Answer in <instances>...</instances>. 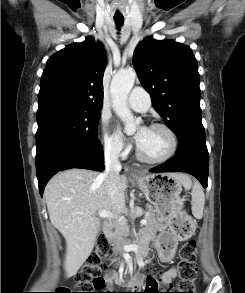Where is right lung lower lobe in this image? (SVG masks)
<instances>
[{"label":"right lung lower lobe","mask_w":245,"mask_h":293,"mask_svg":"<svg viewBox=\"0 0 245 293\" xmlns=\"http://www.w3.org/2000/svg\"><path fill=\"white\" fill-rule=\"evenodd\" d=\"M71 168L102 171L104 169L102 147L100 145L65 146L48 154L36 164L40 195L43 196L44 188L52 176L59 171Z\"/></svg>","instance_id":"obj_1"}]
</instances>
